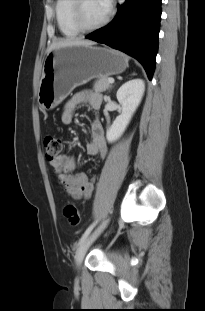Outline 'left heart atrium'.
Returning <instances> with one entry per match:
<instances>
[{
    "label": "left heart atrium",
    "mask_w": 205,
    "mask_h": 311,
    "mask_svg": "<svg viewBox=\"0 0 205 311\" xmlns=\"http://www.w3.org/2000/svg\"><path fill=\"white\" fill-rule=\"evenodd\" d=\"M105 6H106L107 10H109L110 6L108 4V1H105Z\"/></svg>",
    "instance_id": "left-heart-atrium-1"
}]
</instances>
